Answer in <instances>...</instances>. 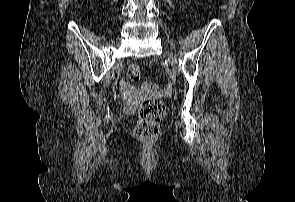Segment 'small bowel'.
Returning a JSON list of instances; mask_svg holds the SVG:
<instances>
[{"mask_svg": "<svg viewBox=\"0 0 295 202\" xmlns=\"http://www.w3.org/2000/svg\"><path fill=\"white\" fill-rule=\"evenodd\" d=\"M120 98H126V107H131V103H144V98H153V93H148V89H141V85H131V81H118Z\"/></svg>", "mask_w": 295, "mask_h": 202, "instance_id": "1", "label": "small bowel"}]
</instances>
